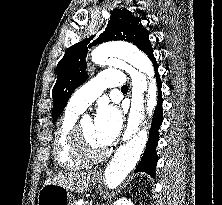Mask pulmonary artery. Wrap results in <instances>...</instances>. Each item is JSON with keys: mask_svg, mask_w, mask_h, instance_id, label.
<instances>
[{"mask_svg": "<svg viewBox=\"0 0 222 205\" xmlns=\"http://www.w3.org/2000/svg\"><path fill=\"white\" fill-rule=\"evenodd\" d=\"M125 85L123 73L117 69H105L101 74L75 91L68 102V108L82 112L108 87L121 88Z\"/></svg>", "mask_w": 222, "mask_h": 205, "instance_id": "1", "label": "pulmonary artery"}]
</instances>
